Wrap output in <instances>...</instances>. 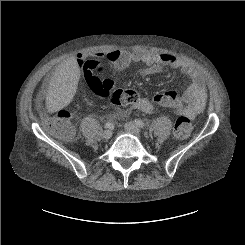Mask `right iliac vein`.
<instances>
[{
  "label": "right iliac vein",
  "instance_id": "63e3f726",
  "mask_svg": "<svg viewBox=\"0 0 245 245\" xmlns=\"http://www.w3.org/2000/svg\"><path fill=\"white\" fill-rule=\"evenodd\" d=\"M112 135H113L112 130L107 129V130H105V131L103 132L102 137H103L105 140H109V139L112 137Z\"/></svg>",
  "mask_w": 245,
  "mask_h": 245
}]
</instances>
